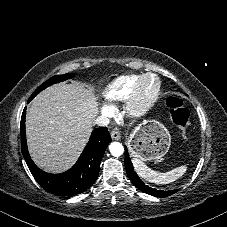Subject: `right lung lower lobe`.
Wrapping results in <instances>:
<instances>
[{
	"label": "right lung lower lobe",
	"mask_w": 227,
	"mask_h": 227,
	"mask_svg": "<svg viewBox=\"0 0 227 227\" xmlns=\"http://www.w3.org/2000/svg\"><path fill=\"white\" fill-rule=\"evenodd\" d=\"M26 108L21 117V150L26 163L35 178L47 192L60 196H73L87 190L97 179L100 162L111 142L106 127L95 129L75 165L61 174H50L39 169L32 161L26 143L25 132Z\"/></svg>",
	"instance_id": "98d812e1"
}]
</instances>
